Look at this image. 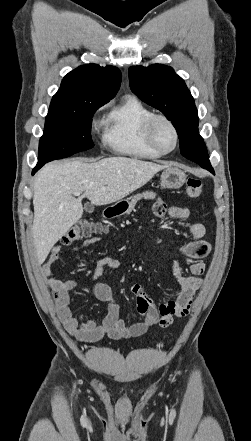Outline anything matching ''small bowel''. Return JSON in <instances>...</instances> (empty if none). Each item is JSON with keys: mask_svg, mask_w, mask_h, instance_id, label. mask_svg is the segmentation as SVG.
I'll return each instance as SVG.
<instances>
[{"mask_svg": "<svg viewBox=\"0 0 251 441\" xmlns=\"http://www.w3.org/2000/svg\"><path fill=\"white\" fill-rule=\"evenodd\" d=\"M153 213L159 218L170 217L173 219L186 220L190 217V210L186 207L167 206L163 201H157L153 206ZM193 241L182 245L180 253L193 262L189 266V275H185L177 261L172 262L171 275L179 286V292L175 300L168 301L156 306L139 283L131 285L130 292L135 296L136 308L143 316L130 326L119 319V305L114 299L112 290L103 283L96 282L107 270L116 269L120 266L119 259L106 256L98 259L91 273V282L86 287L97 299L107 303V312L100 323L86 319L83 315H74L70 308V292L76 287L77 282L73 279L60 280L52 276V267L60 256V247L55 246L51 250L48 259L39 269L40 276L49 287L54 299L58 316L66 330L85 343H93L101 340L104 336L112 339H127L142 336L153 326L166 328L175 318L186 316L193 303L194 296L202 284L201 276L205 272L203 258L210 253V244L203 239L205 227L201 223H192L189 226ZM99 242V238L92 237L85 240L81 247L75 251L91 246Z\"/></svg>", "mask_w": 251, "mask_h": 441, "instance_id": "1", "label": "small bowel"}]
</instances>
